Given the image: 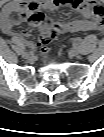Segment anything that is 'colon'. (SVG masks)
I'll use <instances>...</instances> for the list:
<instances>
[{
  "label": "colon",
  "mask_w": 104,
  "mask_h": 137,
  "mask_svg": "<svg viewBox=\"0 0 104 137\" xmlns=\"http://www.w3.org/2000/svg\"><path fill=\"white\" fill-rule=\"evenodd\" d=\"M46 16L42 12H36L31 20L35 23H41L45 20ZM58 32L56 29L50 27L47 29L41 30V35H40V40H39V45L42 48L43 51H46L47 45L50 41H52Z\"/></svg>",
  "instance_id": "1"
}]
</instances>
